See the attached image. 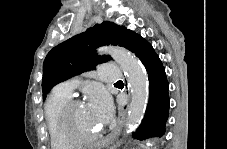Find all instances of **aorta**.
<instances>
[{
    "mask_svg": "<svg viewBox=\"0 0 227 149\" xmlns=\"http://www.w3.org/2000/svg\"><path fill=\"white\" fill-rule=\"evenodd\" d=\"M103 51L109 53L126 74L132 96L126 119V132H131L137 128L145 114L149 86L147 73L128 50L108 47Z\"/></svg>",
    "mask_w": 227,
    "mask_h": 149,
    "instance_id": "762f6f07",
    "label": "aorta"
}]
</instances>
